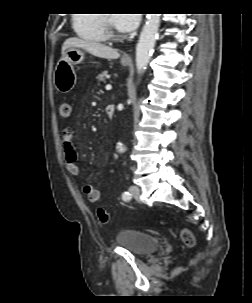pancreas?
<instances>
[{
	"instance_id": "pancreas-1",
	"label": "pancreas",
	"mask_w": 252,
	"mask_h": 303,
	"mask_svg": "<svg viewBox=\"0 0 252 303\" xmlns=\"http://www.w3.org/2000/svg\"><path fill=\"white\" fill-rule=\"evenodd\" d=\"M106 76H107V72H103L98 74L97 79L98 81H105Z\"/></svg>"
}]
</instances>
